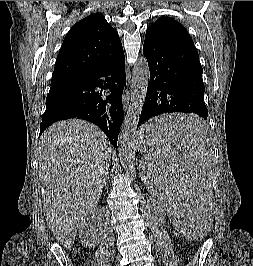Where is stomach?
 <instances>
[{
  "mask_svg": "<svg viewBox=\"0 0 253 266\" xmlns=\"http://www.w3.org/2000/svg\"><path fill=\"white\" fill-rule=\"evenodd\" d=\"M140 138H146L145 132H144V128L140 129L139 133H138V143H139V147H140ZM141 149V147H140Z\"/></svg>",
  "mask_w": 253,
  "mask_h": 266,
  "instance_id": "0dacf381",
  "label": "stomach"
}]
</instances>
